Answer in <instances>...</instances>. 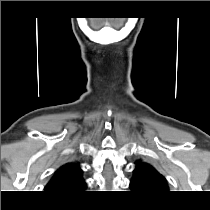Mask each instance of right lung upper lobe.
Segmentation results:
<instances>
[{"instance_id": "obj_1", "label": "right lung upper lobe", "mask_w": 210, "mask_h": 210, "mask_svg": "<svg viewBox=\"0 0 210 210\" xmlns=\"http://www.w3.org/2000/svg\"><path fill=\"white\" fill-rule=\"evenodd\" d=\"M86 183L78 164L67 163L61 166L45 187V192L56 197L76 196L83 192Z\"/></svg>"}]
</instances>
